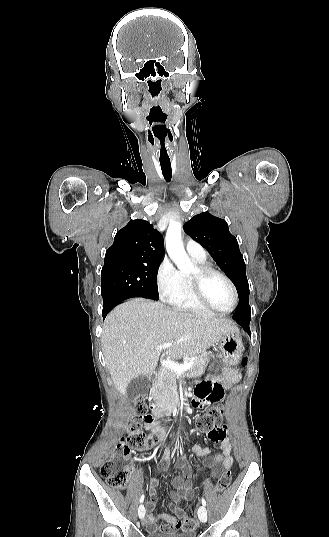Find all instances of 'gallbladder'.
<instances>
[{"instance_id":"gallbladder-1","label":"gallbladder","mask_w":329,"mask_h":537,"mask_svg":"<svg viewBox=\"0 0 329 537\" xmlns=\"http://www.w3.org/2000/svg\"><path fill=\"white\" fill-rule=\"evenodd\" d=\"M149 388V380L146 376L140 375L130 381L126 393L129 397L135 398L139 395L146 394Z\"/></svg>"}]
</instances>
